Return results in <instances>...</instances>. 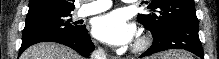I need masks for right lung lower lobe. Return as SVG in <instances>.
<instances>
[{"label":"right lung lower lobe","instance_id":"right-lung-lower-lobe-1","mask_svg":"<svg viewBox=\"0 0 219 59\" xmlns=\"http://www.w3.org/2000/svg\"><path fill=\"white\" fill-rule=\"evenodd\" d=\"M47 41L66 45L86 57H88L91 51L95 48L90 36L88 35V31L85 28L80 34L50 33L24 40L22 41L19 55L29 46Z\"/></svg>","mask_w":219,"mask_h":59}]
</instances>
